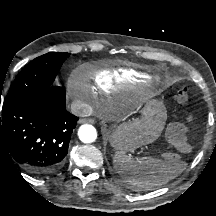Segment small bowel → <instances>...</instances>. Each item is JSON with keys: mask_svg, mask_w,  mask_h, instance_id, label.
Here are the masks:
<instances>
[{"mask_svg": "<svg viewBox=\"0 0 216 216\" xmlns=\"http://www.w3.org/2000/svg\"><path fill=\"white\" fill-rule=\"evenodd\" d=\"M191 118L188 119V122ZM168 141L177 151L182 153H189L191 146L187 142V126L181 122H173L169 125L167 130Z\"/></svg>", "mask_w": 216, "mask_h": 216, "instance_id": "1", "label": "small bowel"}]
</instances>
